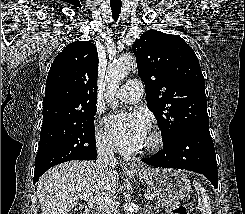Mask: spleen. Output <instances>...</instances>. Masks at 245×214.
I'll list each match as a JSON object with an SVG mask.
<instances>
[{
    "label": "spleen",
    "mask_w": 245,
    "mask_h": 214,
    "mask_svg": "<svg viewBox=\"0 0 245 214\" xmlns=\"http://www.w3.org/2000/svg\"><path fill=\"white\" fill-rule=\"evenodd\" d=\"M193 184H194V187H195L197 194H198V209H199V211L201 212V214H212L209 196L206 193L205 189L197 181H194Z\"/></svg>",
    "instance_id": "obj_1"
}]
</instances>
